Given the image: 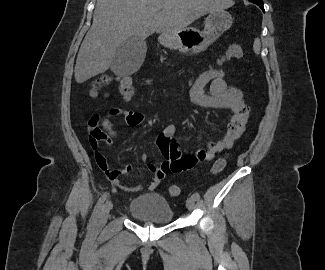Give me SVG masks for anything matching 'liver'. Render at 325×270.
<instances>
[{
  "mask_svg": "<svg viewBox=\"0 0 325 270\" xmlns=\"http://www.w3.org/2000/svg\"><path fill=\"white\" fill-rule=\"evenodd\" d=\"M232 5L231 0H97L77 56L76 82L108 70L119 46L132 36L145 40L155 32L177 34L201 16Z\"/></svg>",
  "mask_w": 325,
  "mask_h": 270,
  "instance_id": "1",
  "label": "liver"
}]
</instances>
